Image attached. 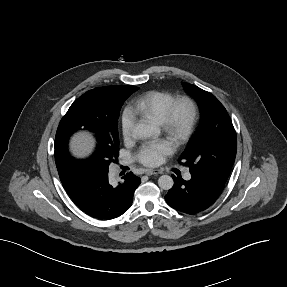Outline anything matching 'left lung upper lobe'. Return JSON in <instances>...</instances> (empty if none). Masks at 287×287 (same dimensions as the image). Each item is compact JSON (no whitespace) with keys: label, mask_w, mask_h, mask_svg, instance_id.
I'll return each mask as SVG.
<instances>
[{"label":"left lung upper lobe","mask_w":287,"mask_h":287,"mask_svg":"<svg viewBox=\"0 0 287 287\" xmlns=\"http://www.w3.org/2000/svg\"><path fill=\"white\" fill-rule=\"evenodd\" d=\"M183 84L199 105L201 122L179 161L188 165L190 171H199L226 182L237 150L233 124L226 109L214 95L197 86Z\"/></svg>","instance_id":"1"}]
</instances>
